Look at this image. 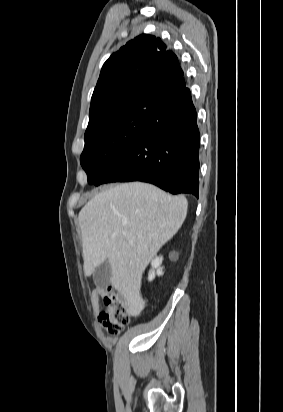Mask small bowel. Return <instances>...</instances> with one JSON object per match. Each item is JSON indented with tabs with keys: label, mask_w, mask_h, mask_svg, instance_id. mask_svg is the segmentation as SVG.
I'll return each instance as SVG.
<instances>
[{
	"label": "small bowel",
	"mask_w": 283,
	"mask_h": 412,
	"mask_svg": "<svg viewBox=\"0 0 283 412\" xmlns=\"http://www.w3.org/2000/svg\"><path fill=\"white\" fill-rule=\"evenodd\" d=\"M105 294L104 290L101 288H97L94 293V303L98 306L99 298L103 297Z\"/></svg>",
	"instance_id": "obj_1"
}]
</instances>
